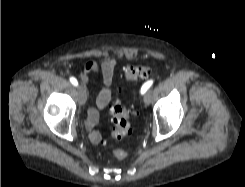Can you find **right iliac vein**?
Listing matches in <instances>:
<instances>
[{
  "label": "right iliac vein",
  "instance_id": "obj_1",
  "mask_svg": "<svg viewBox=\"0 0 245 187\" xmlns=\"http://www.w3.org/2000/svg\"><path fill=\"white\" fill-rule=\"evenodd\" d=\"M77 97H78V102L80 105H84L86 102V91L83 88V86H79L77 88Z\"/></svg>",
  "mask_w": 245,
  "mask_h": 187
}]
</instances>
